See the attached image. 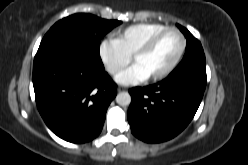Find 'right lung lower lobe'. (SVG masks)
I'll list each match as a JSON object with an SVG mask.
<instances>
[{
  "instance_id": "1",
  "label": "right lung lower lobe",
  "mask_w": 248,
  "mask_h": 165,
  "mask_svg": "<svg viewBox=\"0 0 248 165\" xmlns=\"http://www.w3.org/2000/svg\"><path fill=\"white\" fill-rule=\"evenodd\" d=\"M38 110L49 129L72 143L97 137L117 85L89 51L72 43L38 50L33 64Z\"/></svg>"
}]
</instances>
